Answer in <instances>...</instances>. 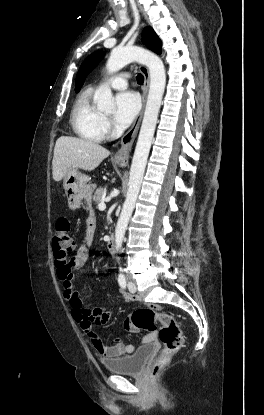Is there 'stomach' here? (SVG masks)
<instances>
[{
  "instance_id": "1",
  "label": "stomach",
  "mask_w": 264,
  "mask_h": 415,
  "mask_svg": "<svg viewBox=\"0 0 264 415\" xmlns=\"http://www.w3.org/2000/svg\"><path fill=\"white\" fill-rule=\"evenodd\" d=\"M63 188L68 207L71 210H76L80 208L83 199H90L95 186L89 184L86 177L76 168H70L63 178Z\"/></svg>"
}]
</instances>
